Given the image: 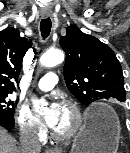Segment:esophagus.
<instances>
[{"label": "esophagus", "instance_id": "34e87169", "mask_svg": "<svg viewBox=\"0 0 130 153\" xmlns=\"http://www.w3.org/2000/svg\"><path fill=\"white\" fill-rule=\"evenodd\" d=\"M43 17H45V18H46V17H47V15H46V14H44V15H43ZM56 152H57V150H56V149H52V148H50V149H47V150H46V153H56Z\"/></svg>", "mask_w": 130, "mask_h": 153}]
</instances>
